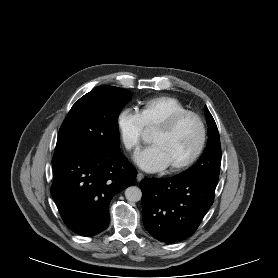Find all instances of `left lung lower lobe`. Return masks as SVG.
Wrapping results in <instances>:
<instances>
[{"label":"left lung lower lobe","mask_w":278,"mask_h":278,"mask_svg":"<svg viewBox=\"0 0 278 278\" xmlns=\"http://www.w3.org/2000/svg\"><path fill=\"white\" fill-rule=\"evenodd\" d=\"M216 182L152 178L140 182L145 229L157 240L175 243L190 237L214 201Z\"/></svg>","instance_id":"0a47b994"}]
</instances>
